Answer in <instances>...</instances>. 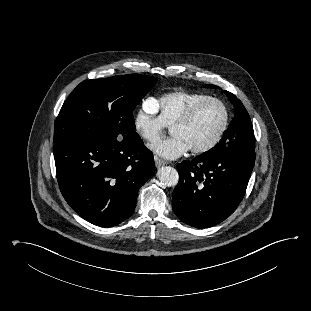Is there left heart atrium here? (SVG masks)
<instances>
[{
    "label": "left heart atrium",
    "instance_id": "1",
    "mask_svg": "<svg viewBox=\"0 0 311 311\" xmlns=\"http://www.w3.org/2000/svg\"><path fill=\"white\" fill-rule=\"evenodd\" d=\"M188 144L179 136L160 140L151 146V150L159 157L174 160L189 150Z\"/></svg>",
    "mask_w": 311,
    "mask_h": 311
}]
</instances>
